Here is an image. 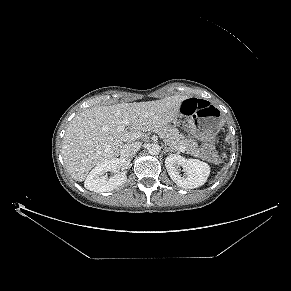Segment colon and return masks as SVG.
Instances as JSON below:
<instances>
[{
  "label": "colon",
  "instance_id": "obj_1",
  "mask_svg": "<svg viewBox=\"0 0 291 291\" xmlns=\"http://www.w3.org/2000/svg\"><path fill=\"white\" fill-rule=\"evenodd\" d=\"M206 107V102L203 100H197L196 102L190 104L189 106V113H193L199 108ZM203 154L213 162H219L220 158L216 153L215 142L214 140H207L203 144L202 148Z\"/></svg>",
  "mask_w": 291,
  "mask_h": 291
}]
</instances>
